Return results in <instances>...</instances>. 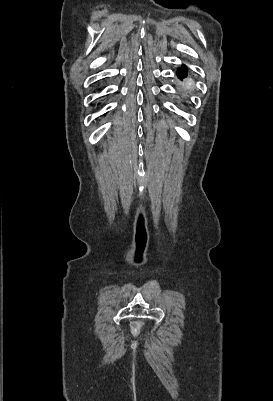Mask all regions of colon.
Listing matches in <instances>:
<instances>
[{
    "mask_svg": "<svg viewBox=\"0 0 273 401\" xmlns=\"http://www.w3.org/2000/svg\"><path fill=\"white\" fill-rule=\"evenodd\" d=\"M132 325V335L137 336L141 331V327L146 325V322L141 319H134Z\"/></svg>",
    "mask_w": 273,
    "mask_h": 401,
    "instance_id": "obj_1",
    "label": "colon"
}]
</instances>
